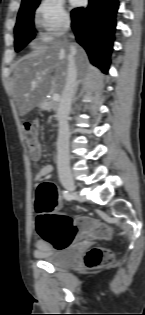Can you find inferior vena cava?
<instances>
[{"label": "inferior vena cava", "instance_id": "602c4592", "mask_svg": "<svg viewBox=\"0 0 145 315\" xmlns=\"http://www.w3.org/2000/svg\"><path fill=\"white\" fill-rule=\"evenodd\" d=\"M77 87V67L73 54L68 56L67 76L57 110L59 131L57 139V170L61 180L71 179L69 156V125L68 116L71 111L72 98Z\"/></svg>", "mask_w": 145, "mask_h": 315}]
</instances>
